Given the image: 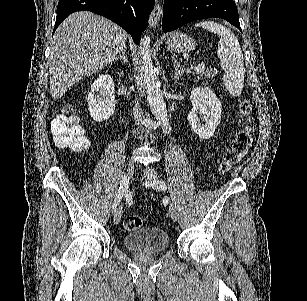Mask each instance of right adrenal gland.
<instances>
[{
	"label": "right adrenal gland",
	"mask_w": 307,
	"mask_h": 301,
	"mask_svg": "<svg viewBox=\"0 0 307 301\" xmlns=\"http://www.w3.org/2000/svg\"><path fill=\"white\" fill-rule=\"evenodd\" d=\"M126 50L127 48H123L122 54H119V56H116L115 60H124V62H128Z\"/></svg>",
	"instance_id": "right-adrenal-gland-1"
}]
</instances>
